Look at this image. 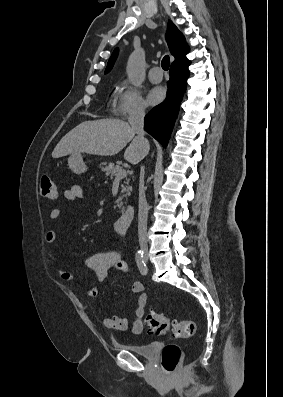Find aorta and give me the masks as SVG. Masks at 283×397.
<instances>
[{
    "label": "aorta",
    "instance_id": "obj_1",
    "mask_svg": "<svg viewBox=\"0 0 283 397\" xmlns=\"http://www.w3.org/2000/svg\"><path fill=\"white\" fill-rule=\"evenodd\" d=\"M126 72L129 80L141 86L145 79V54L143 50L134 51L127 62Z\"/></svg>",
    "mask_w": 283,
    "mask_h": 397
}]
</instances>
